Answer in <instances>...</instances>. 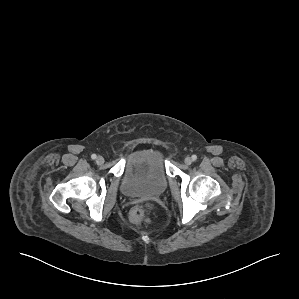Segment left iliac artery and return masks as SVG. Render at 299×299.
<instances>
[{
    "mask_svg": "<svg viewBox=\"0 0 299 299\" xmlns=\"http://www.w3.org/2000/svg\"><path fill=\"white\" fill-rule=\"evenodd\" d=\"M197 159V156L196 155H192V160H196Z\"/></svg>",
    "mask_w": 299,
    "mask_h": 299,
    "instance_id": "left-iliac-artery-1",
    "label": "left iliac artery"
}]
</instances>
